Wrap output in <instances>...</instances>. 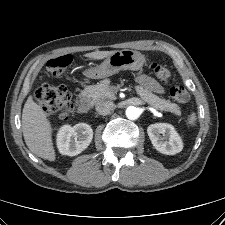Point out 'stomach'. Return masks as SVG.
<instances>
[{"label": "stomach", "mask_w": 225, "mask_h": 225, "mask_svg": "<svg viewBox=\"0 0 225 225\" xmlns=\"http://www.w3.org/2000/svg\"><path fill=\"white\" fill-rule=\"evenodd\" d=\"M145 57L138 51L124 49L115 51L100 65L88 71L91 78H106L120 71H138L143 67Z\"/></svg>", "instance_id": "stomach-1"}]
</instances>
